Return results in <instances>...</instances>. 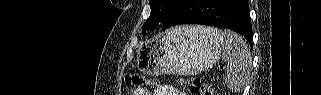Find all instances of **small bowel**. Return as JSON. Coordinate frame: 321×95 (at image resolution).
I'll list each match as a JSON object with an SVG mask.
<instances>
[{
  "mask_svg": "<svg viewBox=\"0 0 321 95\" xmlns=\"http://www.w3.org/2000/svg\"><path fill=\"white\" fill-rule=\"evenodd\" d=\"M136 95H149L150 93L146 92L143 89H137L135 91ZM157 95H185L184 92L179 91L177 88L169 86V85H163L158 88Z\"/></svg>",
  "mask_w": 321,
  "mask_h": 95,
  "instance_id": "small-bowel-1",
  "label": "small bowel"
}]
</instances>
